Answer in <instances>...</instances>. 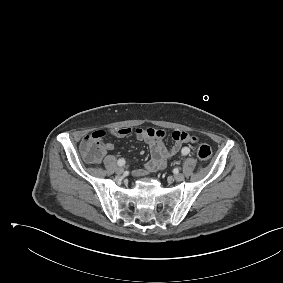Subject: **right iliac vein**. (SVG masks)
Listing matches in <instances>:
<instances>
[{"mask_svg": "<svg viewBox=\"0 0 283 283\" xmlns=\"http://www.w3.org/2000/svg\"><path fill=\"white\" fill-rule=\"evenodd\" d=\"M123 172H124V168H122V167L116 168V173H117L118 175L122 174Z\"/></svg>", "mask_w": 283, "mask_h": 283, "instance_id": "right-iliac-vein-1", "label": "right iliac vein"}]
</instances>
